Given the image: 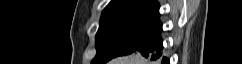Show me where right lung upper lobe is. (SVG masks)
<instances>
[{"instance_id": "right-lung-upper-lobe-1", "label": "right lung upper lobe", "mask_w": 242, "mask_h": 64, "mask_svg": "<svg viewBox=\"0 0 242 64\" xmlns=\"http://www.w3.org/2000/svg\"><path fill=\"white\" fill-rule=\"evenodd\" d=\"M134 12L159 13V3L157 0H112L102 11L101 18Z\"/></svg>"}]
</instances>
